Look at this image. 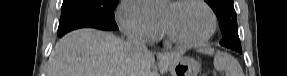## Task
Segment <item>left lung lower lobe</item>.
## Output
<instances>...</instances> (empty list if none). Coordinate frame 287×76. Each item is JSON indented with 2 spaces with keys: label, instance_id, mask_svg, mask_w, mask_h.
Segmentation results:
<instances>
[{
  "label": "left lung lower lobe",
  "instance_id": "0a47b994",
  "mask_svg": "<svg viewBox=\"0 0 287 76\" xmlns=\"http://www.w3.org/2000/svg\"><path fill=\"white\" fill-rule=\"evenodd\" d=\"M233 50H236V51H238L239 53H242L241 48H236V49H233Z\"/></svg>",
  "mask_w": 287,
  "mask_h": 76
}]
</instances>
